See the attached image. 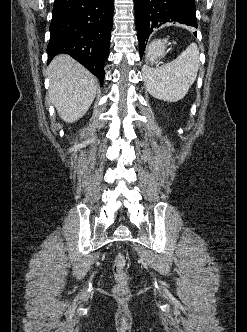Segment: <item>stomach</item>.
Instances as JSON below:
<instances>
[{
	"mask_svg": "<svg viewBox=\"0 0 247 332\" xmlns=\"http://www.w3.org/2000/svg\"><path fill=\"white\" fill-rule=\"evenodd\" d=\"M166 54V45L164 41H153L146 52V61L150 65L157 64Z\"/></svg>",
	"mask_w": 247,
	"mask_h": 332,
	"instance_id": "obj_1",
	"label": "stomach"
}]
</instances>
